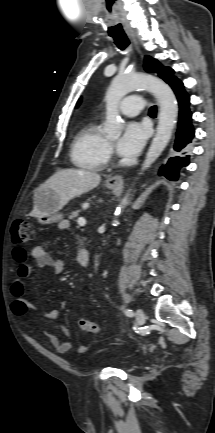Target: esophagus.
Instances as JSON below:
<instances>
[{
	"mask_svg": "<svg viewBox=\"0 0 215 433\" xmlns=\"http://www.w3.org/2000/svg\"><path fill=\"white\" fill-rule=\"evenodd\" d=\"M129 36H130L131 40L133 41V43L135 44V46H137V40L135 38V35L130 34ZM107 184H109L111 186H120L123 184V176H121V175L111 176L107 179Z\"/></svg>",
	"mask_w": 215,
	"mask_h": 433,
	"instance_id": "esophagus-1",
	"label": "esophagus"
}]
</instances>
